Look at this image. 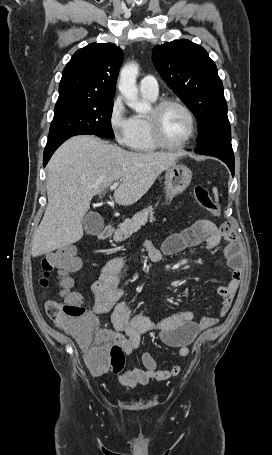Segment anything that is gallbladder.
<instances>
[{
	"label": "gallbladder",
	"mask_w": 272,
	"mask_h": 455,
	"mask_svg": "<svg viewBox=\"0 0 272 455\" xmlns=\"http://www.w3.org/2000/svg\"><path fill=\"white\" fill-rule=\"evenodd\" d=\"M83 226L87 234H98L104 227V220L100 214L90 212L83 218Z\"/></svg>",
	"instance_id": "bac80fb5"
}]
</instances>
